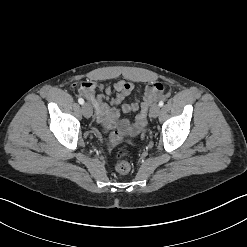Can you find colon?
<instances>
[{
  "label": "colon",
  "mask_w": 247,
  "mask_h": 247,
  "mask_svg": "<svg viewBox=\"0 0 247 247\" xmlns=\"http://www.w3.org/2000/svg\"><path fill=\"white\" fill-rule=\"evenodd\" d=\"M128 155H129V151L127 147L123 145L118 147L117 152H116L117 162L115 165L117 172L121 174H126L130 171L131 164L128 160Z\"/></svg>",
  "instance_id": "colon-1"
}]
</instances>
